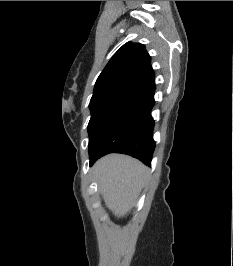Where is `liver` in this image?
Masks as SVG:
<instances>
[{"mask_svg":"<svg viewBox=\"0 0 233 266\" xmlns=\"http://www.w3.org/2000/svg\"><path fill=\"white\" fill-rule=\"evenodd\" d=\"M94 174L106 206L115 216H123L135 204L148 169L132 157L110 154L96 162Z\"/></svg>","mask_w":233,"mask_h":266,"instance_id":"obj_1","label":"liver"}]
</instances>
